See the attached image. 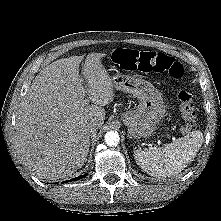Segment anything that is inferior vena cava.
Here are the masks:
<instances>
[{
    "instance_id": "inferior-vena-cava-1",
    "label": "inferior vena cava",
    "mask_w": 221,
    "mask_h": 221,
    "mask_svg": "<svg viewBox=\"0 0 221 221\" xmlns=\"http://www.w3.org/2000/svg\"><path fill=\"white\" fill-rule=\"evenodd\" d=\"M98 128H99V124L96 122H92L87 125V131L90 135L95 134Z\"/></svg>"
}]
</instances>
